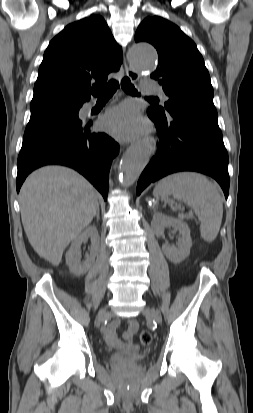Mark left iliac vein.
Returning <instances> with one entry per match:
<instances>
[{"label": "left iliac vein", "instance_id": "obj_1", "mask_svg": "<svg viewBox=\"0 0 253 413\" xmlns=\"http://www.w3.org/2000/svg\"><path fill=\"white\" fill-rule=\"evenodd\" d=\"M143 315H145L146 317L156 321L157 323H161V321H162L160 313L157 310H155L154 308L146 307L143 310Z\"/></svg>", "mask_w": 253, "mask_h": 413}]
</instances>
